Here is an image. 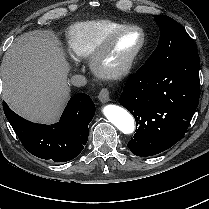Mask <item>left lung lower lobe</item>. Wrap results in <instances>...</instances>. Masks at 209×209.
I'll return each instance as SVG.
<instances>
[{
	"label": "left lung lower lobe",
	"mask_w": 209,
	"mask_h": 209,
	"mask_svg": "<svg viewBox=\"0 0 209 209\" xmlns=\"http://www.w3.org/2000/svg\"><path fill=\"white\" fill-rule=\"evenodd\" d=\"M199 69L194 54L161 68L143 65L129 77L119 102L138 126L127 144L135 155H156L182 139L199 103Z\"/></svg>",
	"instance_id": "left-lung-lower-lobe-1"
}]
</instances>
